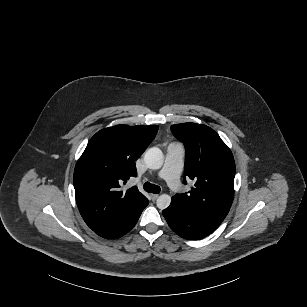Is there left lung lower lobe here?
I'll list each match as a JSON object with an SVG mask.
<instances>
[{
	"label": "left lung lower lobe",
	"instance_id": "0a47b994",
	"mask_svg": "<svg viewBox=\"0 0 307 307\" xmlns=\"http://www.w3.org/2000/svg\"><path fill=\"white\" fill-rule=\"evenodd\" d=\"M163 215L171 229L185 239H202L215 230L187 213L174 199L171 200L170 206L163 210Z\"/></svg>",
	"mask_w": 307,
	"mask_h": 307
}]
</instances>
